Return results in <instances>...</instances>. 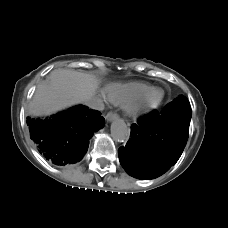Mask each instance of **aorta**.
Wrapping results in <instances>:
<instances>
[{"label":"aorta","mask_w":228,"mask_h":228,"mask_svg":"<svg viewBox=\"0 0 228 228\" xmlns=\"http://www.w3.org/2000/svg\"><path fill=\"white\" fill-rule=\"evenodd\" d=\"M111 135L118 142H122L129 137V129L124 120L117 118L112 122Z\"/></svg>","instance_id":"obj_1"}]
</instances>
